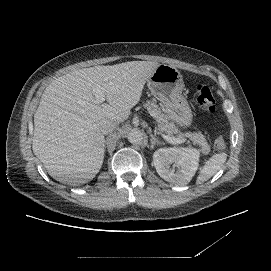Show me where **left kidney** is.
<instances>
[{
    "label": "left kidney",
    "instance_id": "left-kidney-1",
    "mask_svg": "<svg viewBox=\"0 0 271 271\" xmlns=\"http://www.w3.org/2000/svg\"><path fill=\"white\" fill-rule=\"evenodd\" d=\"M198 156L195 149L162 148L154 153L153 162L162 179L174 185H186L197 169Z\"/></svg>",
    "mask_w": 271,
    "mask_h": 271
}]
</instances>
